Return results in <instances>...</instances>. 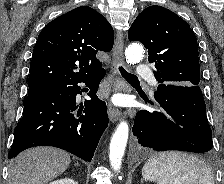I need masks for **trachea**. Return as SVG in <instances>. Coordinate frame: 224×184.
Returning <instances> with one entry per match:
<instances>
[{"instance_id":"3493384b","label":"trachea","mask_w":224,"mask_h":184,"mask_svg":"<svg viewBox=\"0 0 224 184\" xmlns=\"http://www.w3.org/2000/svg\"><path fill=\"white\" fill-rule=\"evenodd\" d=\"M119 70L122 74V76L127 80V81H133V80H138V78L131 74V73H128L122 66L119 67Z\"/></svg>"}]
</instances>
